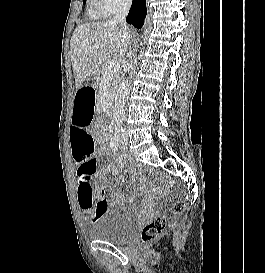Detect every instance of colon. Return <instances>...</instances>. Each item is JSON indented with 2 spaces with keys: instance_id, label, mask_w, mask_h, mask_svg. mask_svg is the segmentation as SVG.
Wrapping results in <instances>:
<instances>
[{
  "instance_id": "obj_1",
  "label": "colon",
  "mask_w": 265,
  "mask_h": 273,
  "mask_svg": "<svg viewBox=\"0 0 265 273\" xmlns=\"http://www.w3.org/2000/svg\"><path fill=\"white\" fill-rule=\"evenodd\" d=\"M90 137V135L88 134ZM102 208V206H100ZM185 209L184 201H179L174 207L175 214L180 215ZM169 223L165 218H158L148 224H146L141 232V241L144 244L150 243L156 240L168 227Z\"/></svg>"
}]
</instances>
